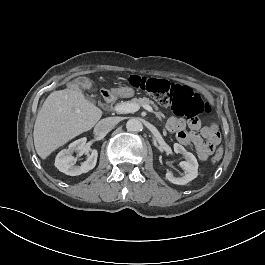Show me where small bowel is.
Listing matches in <instances>:
<instances>
[{"label":"small bowel","mask_w":265,"mask_h":265,"mask_svg":"<svg viewBox=\"0 0 265 265\" xmlns=\"http://www.w3.org/2000/svg\"><path fill=\"white\" fill-rule=\"evenodd\" d=\"M181 145L191 146L200 161H207L220 143V133L214 125L202 126L198 120L186 121L172 116L166 124Z\"/></svg>","instance_id":"1"}]
</instances>
